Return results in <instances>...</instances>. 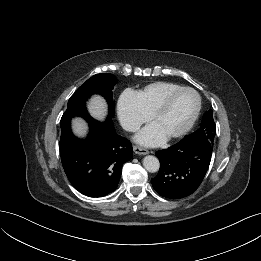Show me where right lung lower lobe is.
<instances>
[{"instance_id":"obj_1","label":"right lung lower lobe","mask_w":261,"mask_h":261,"mask_svg":"<svg viewBox=\"0 0 261 261\" xmlns=\"http://www.w3.org/2000/svg\"><path fill=\"white\" fill-rule=\"evenodd\" d=\"M87 139L76 138L70 124L61 126L60 152L64 171L71 184L89 197L114 192L123 164L132 159V145L116 134L110 117L105 122L87 120Z\"/></svg>"}]
</instances>
